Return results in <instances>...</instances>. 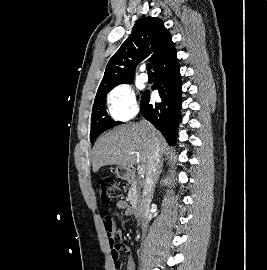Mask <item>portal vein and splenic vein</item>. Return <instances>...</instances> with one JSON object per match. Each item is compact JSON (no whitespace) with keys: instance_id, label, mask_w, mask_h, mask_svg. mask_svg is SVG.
Masks as SVG:
<instances>
[{"instance_id":"18ae733b","label":"portal vein and splenic vein","mask_w":267,"mask_h":270,"mask_svg":"<svg viewBox=\"0 0 267 270\" xmlns=\"http://www.w3.org/2000/svg\"><path fill=\"white\" fill-rule=\"evenodd\" d=\"M138 173L140 174V175H142L143 173H144V167L142 166V165H138Z\"/></svg>"}]
</instances>
